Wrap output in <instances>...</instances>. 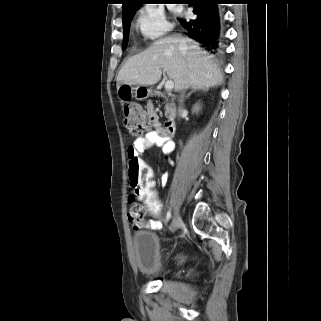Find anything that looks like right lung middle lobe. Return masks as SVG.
Listing matches in <instances>:
<instances>
[{
	"label": "right lung middle lobe",
	"instance_id": "right-lung-middle-lobe-1",
	"mask_svg": "<svg viewBox=\"0 0 321 321\" xmlns=\"http://www.w3.org/2000/svg\"><path fill=\"white\" fill-rule=\"evenodd\" d=\"M134 14H135V11L122 15L123 34H124V37H123V49H125L127 47L130 23H131V20H132Z\"/></svg>",
	"mask_w": 321,
	"mask_h": 321
}]
</instances>
